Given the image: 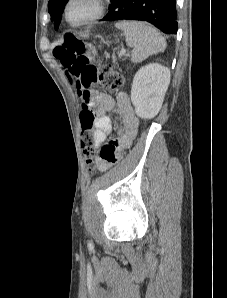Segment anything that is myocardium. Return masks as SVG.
I'll return each instance as SVG.
<instances>
[{
  "mask_svg": "<svg viewBox=\"0 0 227 298\" xmlns=\"http://www.w3.org/2000/svg\"><path fill=\"white\" fill-rule=\"evenodd\" d=\"M72 2H73V0L67 1L66 5H65V9H64V15H65L66 21L70 25L75 26V27L84 26V25L90 24L92 22H95L96 20L101 18L105 12V6H106L105 0H94V3H95L94 14L81 22L75 23L69 17V7Z\"/></svg>",
  "mask_w": 227,
  "mask_h": 298,
  "instance_id": "obj_1",
  "label": "myocardium"
}]
</instances>
